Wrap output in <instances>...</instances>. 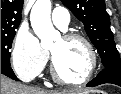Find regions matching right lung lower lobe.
I'll return each mask as SVG.
<instances>
[{
    "mask_svg": "<svg viewBox=\"0 0 121 94\" xmlns=\"http://www.w3.org/2000/svg\"><path fill=\"white\" fill-rule=\"evenodd\" d=\"M1 74H4L11 79L18 80L10 66H1Z\"/></svg>",
    "mask_w": 121,
    "mask_h": 94,
    "instance_id": "98d812e1",
    "label": "right lung lower lobe"
}]
</instances>
